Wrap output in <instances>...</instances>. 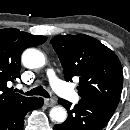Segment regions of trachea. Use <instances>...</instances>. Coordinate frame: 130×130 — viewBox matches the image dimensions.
Masks as SVG:
<instances>
[{"instance_id": "obj_1", "label": "trachea", "mask_w": 130, "mask_h": 130, "mask_svg": "<svg viewBox=\"0 0 130 130\" xmlns=\"http://www.w3.org/2000/svg\"><path fill=\"white\" fill-rule=\"evenodd\" d=\"M20 92L25 94V95H40V96H43L45 98H50L49 93L42 86H38L36 88H33L32 90L27 91L25 93L23 91H20Z\"/></svg>"}]
</instances>
